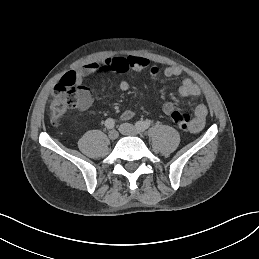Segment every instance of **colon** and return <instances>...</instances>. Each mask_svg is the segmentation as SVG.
Listing matches in <instances>:
<instances>
[{"label":"colon","instance_id":"colon-1","mask_svg":"<svg viewBox=\"0 0 259 259\" xmlns=\"http://www.w3.org/2000/svg\"><path fill=\"white\" fill-rule=\"evenodd\" d=\"M91 103L89 88L76 82L74 72L67 73L55 87L49 106V117L53 125H59L61 119L72 109L86 108ZM171 118L180 129L190 126L191 118L183 111L173 110Z\"/></svg>","mask_w":259,"mask_h":259}]
</instances>
